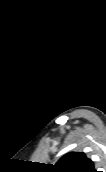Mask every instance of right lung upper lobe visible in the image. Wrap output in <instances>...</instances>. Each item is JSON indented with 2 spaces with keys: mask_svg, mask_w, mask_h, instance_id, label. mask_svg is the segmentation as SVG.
Returning <instances> with one entry per match:
<instances>
[{
  "mask_svg": "<svg viewBox=\"0 0 106 172\" xmlns=\"http://www.w3.org/2000/svg\"><path fill=\"white\" fill-rule=\"evenodd\" d=\"M52 172H96L93 162L82 152H70L50 167Z\"/></svg>",
  "mask_w": 106,
  "mask_h": 172,
  "instance_id": "cb5924a9",
  "label": "right lung upper lobe"
}]
</instances>
